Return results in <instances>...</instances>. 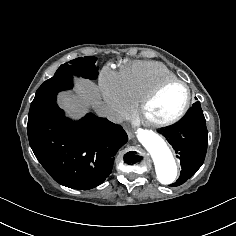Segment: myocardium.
Instances as JSON below:
<instances>
[{"instance_id":"myocardium-1","label":"myocardium","mask_w":236,"mask_h":236,"mask_svg":"<svg viewBox=\"0 0 236 236\" xmlns=\"http://www.w3.org/2000/svg\"><path fill=\"white\" fill-rule=\"evenodd\" d=\"M173 84H179L183 86L186 90V101L183 106V108L180 110V112L174 116L173 118L162 121V122H157L150 120L149 118L146 117V111L150 104L159 96V94L168 86L173 85ZM192 105V90L190 86L184 82L181 79L178 78H172V79H166L161 82H159L154 88H152L138 103V113L140 115V120L141 122L148 128H151L153 130H163L167 129L169 127H172L182 121L185 116L188 114V112L191 109Z\"/></svg>"}]
</instances>
